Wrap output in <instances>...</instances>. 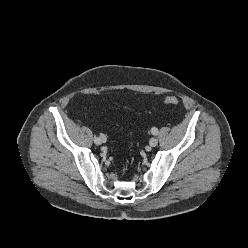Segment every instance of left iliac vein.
I'll list each match as a JSON object with an SVG mask.
<instances>
[{
  "label": "left iliac vein",
  "mask_w": 248,
  "mask_h": 248,
  "mask_svg": "<svg viewBox=\"0 0 248 248\" xmlns=\"http://www.w3.org/2000/svg\"><path fill=\"white\" fill-rule=\"evenodd\" d=\"M149 144H150V146L155 147L158 144V139L156 137H152L149 140Z\"/></svg>",
  "instance_id": "left-iliac-vein-1"
}]
</instances>
